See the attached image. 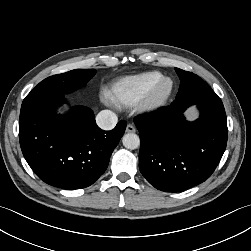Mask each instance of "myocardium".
<instances>
[{
    "instance_id": "myocardium-1",
    "label": "myocardium",
    "mask_w": 251,
    "mask_h": 251,
    "mask_svg": "<svg viewBox=\"0 0 251 251\" xmlns=\"http://www.w3.org/2000/svg\"><path fill=\"white\" fill-rule=\"evenodd\" d=\"M167 85L166 90L163 87ZM174 91V82L163 77L156 82L138 103V109L144 113H154L166 106Z\"/></svg>"
}]
</instances>
